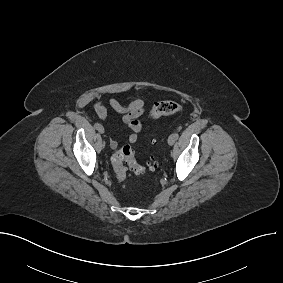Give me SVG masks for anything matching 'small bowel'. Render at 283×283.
Instances as JSON below:
<instances>
[{
	"label": "small bowel",
	"mask_w": 283,
	"mask_h": 283,
	"mask_svg": "<svg viewBox=\"0 0 283 283\" xmlns=\"http://www.w3.org/2000/svg\"><path fill=\"white\" fill-rule=\"evenodd\" d=\"M109 106L112 110L122 116L123 122L131 130V133L128 135V142L135 143L138 138V134L142 131L143 125L139 118L145 113V101L143 99H136L128 104H122L115 97L109 99ZM94 109L97 116L105 120L108 117V108L102 104L100 101H97L94 104ZM110 146L116 148L118 143L116 140L111 139Z\"/></svg>",
	"instance_id": "c3829d8e"
}]
</instances>
